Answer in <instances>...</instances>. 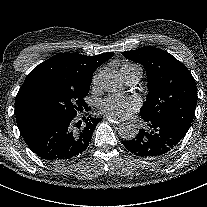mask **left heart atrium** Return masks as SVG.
I'll list each match as a JSON object with an SVG mask.
<instances>
[{"mask_svg": "<svg viewBox=\"0 0 207 207\" xmlns=\"http://www.w3.org/2000/svg\"><path fill=\"white\" fill-rule=\"evenodd\" d=\"M140 100L136 97L111 95L100 102V111L107 117L126 119L140 108Z\"/></svg>", "mask_w": 207, "mask_h": 207, "instance_id": "obj_1", "label": "left heart atrium"}]
</instances>
